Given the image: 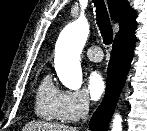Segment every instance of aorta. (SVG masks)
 Listing matches in <instances>:
<instances>
[{
	"mask_svg": "<svg viewBox=\"0 0 147 131\" xmlns=\"http://www.w3.org/2000/svg\"><path fill=\"white\" fill-rule=\"evenodd\" d=\"M89 34L87 20L80 18L68 24L61 32L55 49V69L61 83L70 90L82 86L80 54ZM111 131H122V118L116 114Z\"/></svg>",
	"mask_w": 147,
	"mask_h": 131,
	"instance_id": "1",
	"label": "aorta"
}]
</instances>
